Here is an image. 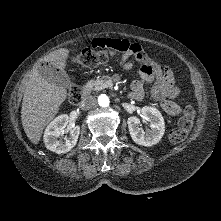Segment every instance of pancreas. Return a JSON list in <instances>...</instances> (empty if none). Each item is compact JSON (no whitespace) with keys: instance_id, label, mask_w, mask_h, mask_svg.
Returning a JSON list of instances; mask_svg holds the SVG:
<instances>
[{"instance_id":"obj_1","label":"pancreas","mask_w":221,"mask_h":221,"mask_svg":"<svg viewBox=\"0 0 221 221\" xmlns=\"http://www.w3.org/2000/svg\"><path fill=\"white\" fill-rule=\"evenodd\" d=\"M113 86V81L109 76H103L100 79L90 80L87 85L86 89L88 91H99L105 88H111Z\"/></svg>"}]
</instances>
